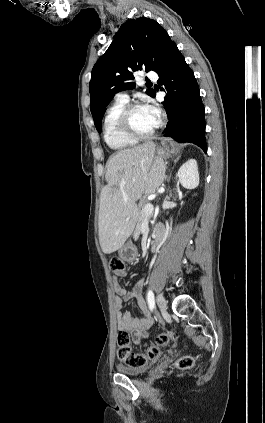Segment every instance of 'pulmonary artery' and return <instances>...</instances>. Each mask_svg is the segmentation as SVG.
<instances>
[{
  "instance_id": "1",
  "label": "pulmonary artery",
  "mask_w": 265,
  "mask_h": 423,
  "mask_svg": "<svg viewBox=\"0 0 265 423\" xmlns=\"http://www.w3.org/2000/svg\"><path fill=\"white\" fill-rule=\"evenodd\" d=\"M147 77H148V79L154 80V79L157 78V74L155 72H149L147 74ZM128 99H129V97H128V94L126 92H119L116 95V100H118V101H125V102H127Z\"/></svg>"
}]
</instances>
